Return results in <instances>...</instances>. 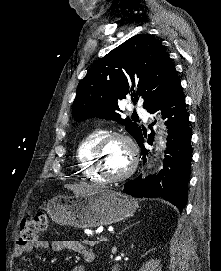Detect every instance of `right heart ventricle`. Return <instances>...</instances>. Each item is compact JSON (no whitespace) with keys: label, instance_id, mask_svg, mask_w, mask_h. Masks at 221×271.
I'll use <instances>...</instances> for the list:
<instances>
[{"label":"right heart ventricle","instance_id":"1","mask_svg":"<svg viewBox=\"0 0 221 271\" xmlns=\"http://www.w3.org/2000/svg\"><path fill=\"white\" fill-rule=\"evenodd\" d=\"M104 132L93 130L86 134L78 143L76 154L79 168L82 169L80 175L84 179H93V183H107L108 179L103 178L102 174H97L95 171V155H92V150H96L95 145L101 144Z\"/></svg>","mask_w":221,"mask_h":271}]
</instances>
